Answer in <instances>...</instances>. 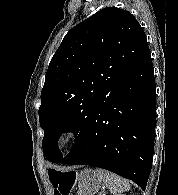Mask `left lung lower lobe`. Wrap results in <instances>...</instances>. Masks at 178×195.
Wrapping results in <instances>:
<instances>
[{
  "instance_id": "obj_1",
  "label": "left lung lower lobe",
  "mask_w": 178,
  "mask_h": 195,
  "mask_svg": "<svg viewBox=\"0 0 178 195\" xmlns=\"http://www.w3.org/2000/svg\"><path fill=\"white\" fill-rule=\"evenodd\" d=\"M155 96L149 54L100 104L83 136L59 163L107 169L145 190L154 150Z\"/></svg>"
}]
</instances>
